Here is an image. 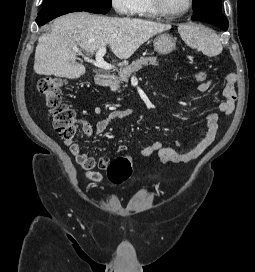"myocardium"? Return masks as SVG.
I'll return each instance as SVG.
<instances>
[{"instance_id":"obj_1","label":"myocardium","mask_w":255,"mask_h":272,"mask_svg":"<svg viewBox=\"0 0 255 272\" xmlns=\"http://www.w3.org/2000/svg\"><path fill=\"white\" fill-rule=\"evenodd\" d=\"M152 5L158 15L165 18H178L187 14L193 7V0H188L187 7L180 12H170L164 6L163 0H152Z\"/></svg>"}]
</instances>
